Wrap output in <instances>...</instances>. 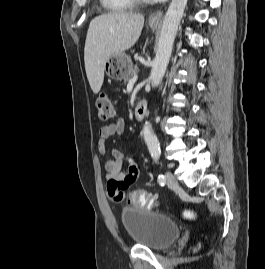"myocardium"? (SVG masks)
Returning a JSON list of instances; mask_svg holds the SVG:
<instances>
[{
    "label": "myocardium",
    "mask_w": 265,
    "mask_h": 269,
    "mask_svg": "<svg viewBox=\"0 0 265 269\" xmlns=\"http://www.w3.org/2000/svg\"><path fill=\"white\" fill-rule=\"evenodd\" d=\"M152 0H132L133 3L135 4H146L149 3Z\"/></svg>",
    "instance_id": "f54148a6"
}]
</instances>
